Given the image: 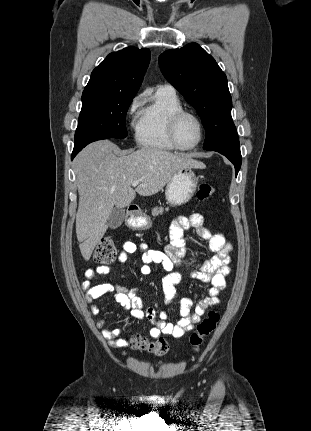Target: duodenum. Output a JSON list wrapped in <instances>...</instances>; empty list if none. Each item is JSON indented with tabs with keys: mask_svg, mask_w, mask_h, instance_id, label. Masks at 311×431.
<instances>
[{
	"mask_svg": "<svg viewBox=\"0 0 311 431\" xmlns=\"http://www.w3.org/2000/svg\"><path fill=\"white\" fill-rule=\"evenodd\" d=\"M139 214V208L135 205H131L128 208V216L130 218H135Z\"/></svg>",
	"mask_w": 311,
	"mask_h": 431,
	"instance_id": "obj_1",
	"label": "duodenum"
}]
</instances>
